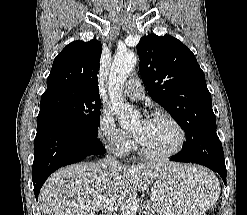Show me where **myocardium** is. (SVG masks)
<instances>
[{
  "instance_id": "f54148a6",
  "label": "myocardium",
  "mask_w": 247,
  "mask_h": 215,
  "mask_svg": "<svg viewBox=\"0 0 247 215\" xmlns=\"http://www.w3.org/2000/svg\"><path fill=\"white\" fill-rule=\"evenodd\" d=\"M150 119H164L169 121L177 130L178 135H179V140L177 145L168 152L165 153H153L148 151L140 142L139 138L133 134V138H134V143H135V147L138 151V153L148 159V160H152V161H159V160H166L169 158H172L174 156H176L178 153L181 152V150L184 148V145L186 143V132L185 129L183 128V126L181 125V123L171 114L167 113V112H162V111H156L154 112Z\"/></svg>"
}]
</instances>
